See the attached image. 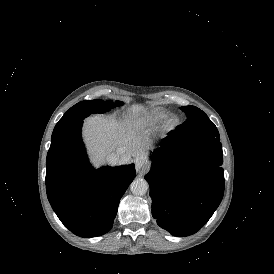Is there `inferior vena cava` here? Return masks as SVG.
I'll return each mask as SVG.
<instances>
[{
	"instance_id": "obj_1",
	"label": "inferior vena cava",
	"mask_w": 274,
	"mask_h": 274,
	"mask_svg": "<svg viewBox=\"0 0 274 274\" xmlns=\"http://www.w3.org/2000/svg\"><path fill=\"white\" fill-rule=\"evenodd\" d=\"M125 152V150H123ZM120 154L117 152H112L107 154V161L110 164H116L119 162Z\"/></svg>"
}]
</instances>
